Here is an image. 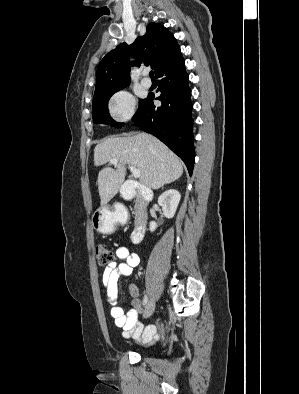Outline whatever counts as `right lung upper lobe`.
Segmentation results:
<instances>
[{"mask_svg":"<svg viewBox=\"0 0 299 394\" xmlns=\"http://www.w3.org/2000/svg\"><path fill=\"white\" fill-rule=\"evenodd\" d=\"M149 65L156 75L181 57V51L174 36L159 23H150L144 36L138 37L131 45L121 43L101 60L97 68L95 92L116 89L130 84L131 62Z\"/></svg>","mask_w":299,"mask_h":394,"instance_id":"cb5924a9","label":"right lung upper lobe"}]
</instances>
